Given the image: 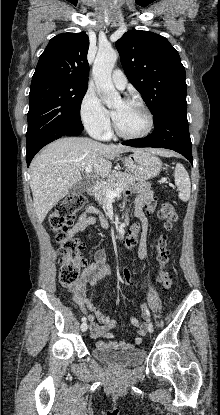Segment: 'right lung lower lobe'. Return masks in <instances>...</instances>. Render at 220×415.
Wrapping results in <instances>:
<instances>
[{"instance_id":"right-lung-lower-lobe-1","label":"right lung lower lobe","mask_w":220,"mask_h":415,"mask_svg":"<svg viewBox=\"0 0 220 415\" xmlns=\"http://www.w3.org/2000/svg\"><path fill=\"white\" fill-rule=\"evenodd\" d=\"M83 130V129H82ZM82 130H78L75 132L70 133H57V134H46L42 137H40L36 142H34L30 147L26 148V161L27 166H29L30 162L32 161L35 154L45 145L48 143L54 141L55 139H58L64 135L67 136H75L81 134Z\"/></svg>"}]
</instances>
